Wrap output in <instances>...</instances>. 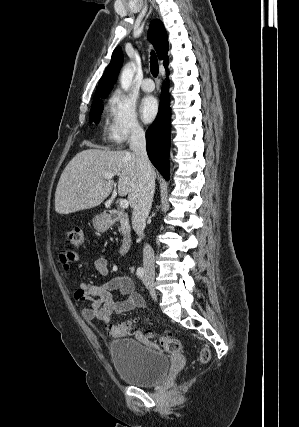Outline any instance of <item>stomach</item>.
<instances>
[{"label": "stomach", "instance_id": "stomach-1", "mask_svg": "<svg viewBox=\"0 0 299 427\" xmlns=\"http://www.w3.org/2000/svg\"><path fill=\"white\" fill-rule=\"evenodd\" d=\"M93 222L100 230H106L110 225L109 219L103 216H96Z\"/></svg>", "mask_w": 299, "mask_h": 427}]
</instances>
